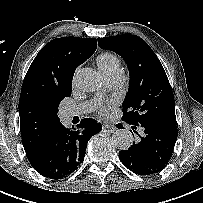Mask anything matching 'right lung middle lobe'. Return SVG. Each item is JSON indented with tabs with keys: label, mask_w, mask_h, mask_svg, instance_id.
<instances>
[{
	"label": "right lung middle lobe",
	"mask_w": 203,
	"mask_h": 203,
	"mask_svg": "<svg viewBox=\"0 0 203 203\" xmlns=\"http://www.w3.org/2000/svg\"><path fill=\"white\" fill-rule=\"evenodd\" d=\"M70 95H71V93L65 94V95H62L61 97H59L58 99L55 100V102L53 103V108H54V111H55L56 114H57V112H58V107H59L60 102H61L65 97H69Z\"/></svg>",
	"instance_id": "right-lung-middle-lobe-1"
}]
</instances>
